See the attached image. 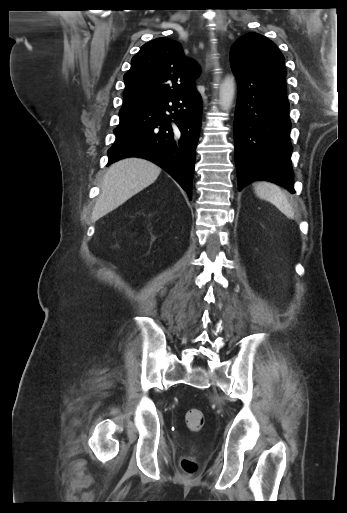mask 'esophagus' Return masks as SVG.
<instances>
[{"mask_svg":"<svg viewBox=\"0 0 347 513\" xmlns=\"http://www.w3.org/2000/svg\"><path fill=\"white\" fill-rule=\"evenodd\" d=\"M215 55H216V49H215V45L211 42L209 44V50L207 52V57H206V67L207 69H210L211 65H212V62L215 58Z\"/></svg>","mask_w":347,"mask_h":513,"instance_id":"34e87169","label":"esophagus"}]
</instances>
